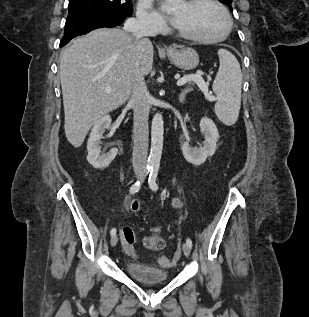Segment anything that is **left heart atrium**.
I'll use <instances>...</instances> for the list:
<instances>
[{"label":"left heart atrium","instance_id":"obj_1","mask_svg":"<svg viewBox=\"0 0 309 317\" xmlns=\"http://www.w3.org/2000/svg\"><path fill=\"white\" fill-rule=\"evenodd\" d=\"M172 22L175 23V18L174 17H172Z\"/></svg>","mask_w":309,"mask_h":317}]
</instances>
